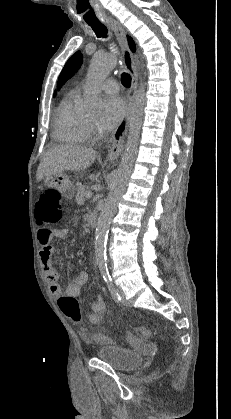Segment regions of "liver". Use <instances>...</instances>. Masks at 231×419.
I'll return each instance as SVG.
<instances>
[{
	"label": "liver",
	"mask_w": 231,
	"mask_h": 419,
	"mask_svg": "<svg viewBox=\"0 0 231 419\" xmlns=\"http://www.w3.org/2000/svg\"><path fill=\"white\" fill-rule=\"evenodd\" d=\"M96 151L73 144L58 145L47 151L36 173L37 182L46 176L71 171H83L96 159Z\"/></svg>",
	"instance_id": "liver-1"
}]
</instances>
